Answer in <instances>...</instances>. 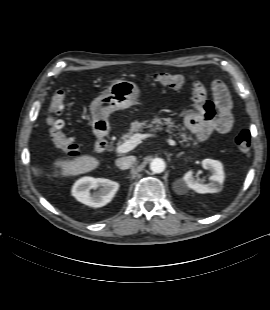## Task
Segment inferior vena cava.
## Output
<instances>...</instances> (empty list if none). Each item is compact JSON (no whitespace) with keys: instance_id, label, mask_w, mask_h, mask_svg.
I'll list each match as a JSON object with an SVG mask.
<instances>
[{"instance_id":"inferior-vena-cava-1","label":"inferior vena cava","mask_w":270,"mask_h":310,"mask_svg":"<svg viewBox=\"0 0 270 310\" xmlns=\"http://www.w3.org/2000/svg\"><path fill=\"white\" fill-rule=\"evenodd\" d=\"M135 162V157L134 156H125L116 159L115 164L118 168L122 170L129 169Z\"/></svg>"}]
</instances>
